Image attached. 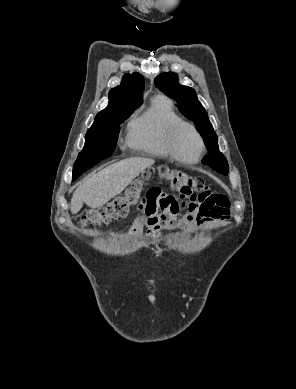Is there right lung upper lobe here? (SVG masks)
<instances>
[{
	"instance_id": "obj_1",
	"label": "right lung upper lobe",
	"mask_w": 296,
	"mask_h": 389,
	"mask_svg": "<svg viewBox=\"0 0 296 389\" xmlns=\"http://www.w3.org/2000/svg\"><path fill=\"white\" fill-rule=\"evenodd\" d=\"M144 78L138 73L126 74L121 84L109 92L108 106L97 114L95 119L105 117L116 111L139 107L143 101Z\"/></svg>"
}]
</instances>
